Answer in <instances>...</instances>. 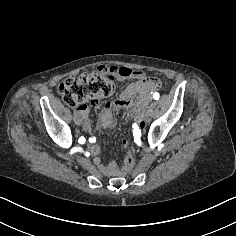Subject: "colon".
Masks as SVG:
<instances>
[{"instance_id":"5ec220e1","label":"colon","mask_w":236,"mask_h":236,"mask_svg":"<svg viewBox=\"0 0 236 236\" xmlns=\"http://www.w3.org/2000/svg\"><path fill=\"white\" fill-rule=\"evenodd\" d=\"M120 76L131 78L134 72L123 67L100 66L77 77L66 78L59 84L58 91L68 106L75 107L85 101L110 95L115 88V79ZM134 163L131 151L127 150L124 161L126 172L133 169Z\"/></svg>"}]
</instances>
